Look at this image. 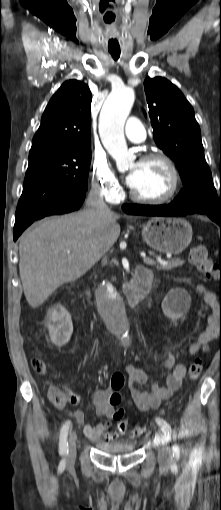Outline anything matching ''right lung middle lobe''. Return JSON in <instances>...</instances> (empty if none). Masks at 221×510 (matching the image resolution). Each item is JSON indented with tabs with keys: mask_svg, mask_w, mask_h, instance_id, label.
Masks as SVG:
<instances>
[{
	"mask_svg": "<svg viewBox=\"0 0 221 510\" xmlns=\"http://www.w3.org/2000/svg\"><path fill=\"white\" fill-rule=\"evenodd\" d=\"M90 163L91 145L73 146L62 152L29 156V166L16 213L32 216L85 192Z\"/></svg>",
	"mask_w": 221,
	"mask_h": 510,
	"instance_id": "dd1d6c3e",
	"label": "right lung middle lobe"
}]
</instances>
